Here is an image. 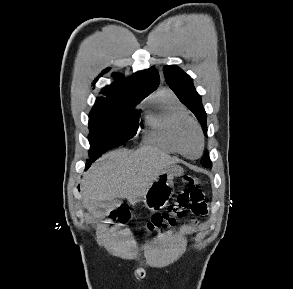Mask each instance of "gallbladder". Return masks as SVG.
Returning <instances> with one entry per match:
<instances>
[{"instance_id":"obj_1","label":"gallbladder","mask_w":293,"mask_h":289,"mask_svg":"<svg viewBox=\"0 0 293 289\" xmlns=\"http://www.w3.org/2000/svg\"><path fill=\"white\" fill-rule=\"evenodd\" d=\"M96 210H97L99 213H102V214L105 213V210H104L103 208H101V207H98Z\"/></svg>"}]
</instances>
